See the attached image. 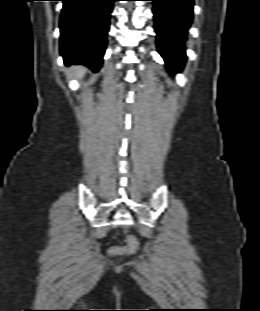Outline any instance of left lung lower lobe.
I'll list each match as a JSON object with an SVG mask.
<instances>
[{
  "instance_id": "obj_1",
  "label": "left lung lower lobe",
  "mask_w": 260,
  "mask_h": 311,
  "mask_svg": "<svg viewBox=\"0 0 260 311\" xmlns=\"http://www.w3.org/2000/svg\"><path fill=\"white\" fill-rule=\"evenodd\" d=\"M156 22L157 46L171 73L185 62L184 41L192 21L194 0H150Z\"/></svg>"
}]
</instances>
